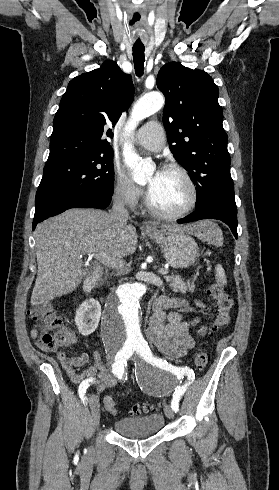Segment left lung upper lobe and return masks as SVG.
I'll use <instances>...</instances> for the list:
<instances>
[{
	"label": "left lung upper lobe",
	"mask_w": 279,
	"mask_h": 490,
	"mask_svg": "<svg viewBox=\"0 0 279 490\" xmlns=\"http://www.w3.org/2000/svg\"><path fill=\"white\" fill-rule=\"evenodd\" d=\"M156 84L166 97L170 150L196 185V209L214 201L237 210L218 87L206 72L176 62L160 69Z\"/></svg>",
	"instance_id": "1"
}]
</instances>
